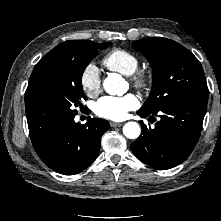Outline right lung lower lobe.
<instances>
[{
    "label": "right lung lower lobe",
    "instance_id": "98d812e1",
    "mask_svg": "<svg viewBox=\"0 0 221 221\" xmlns=\"http://www.w3.org/2000/svg\"><path fill=\"white\" fill-rule=\"evenodd\" d=\"M32 144L40 159L64 175L80 173L98 156L107 120L88 117L75 123L77 111L45 101L25 103Z\"/></svg>",
    "mask_w": 221,
    "mask_h": 221
}]
</instances>
